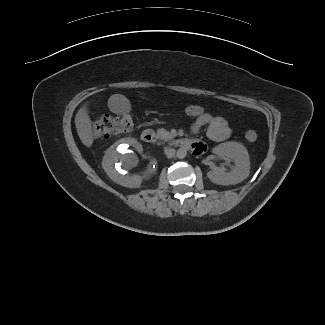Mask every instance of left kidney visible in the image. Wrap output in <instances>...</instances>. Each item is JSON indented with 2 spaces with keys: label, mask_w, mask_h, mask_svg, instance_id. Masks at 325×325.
Segmentation results:
<instances>
[{
  "label": "left kidney",
  "mask_w": 325,
  "mask_h": 325,
  "mask_svg": "<svg viewBox=\"0 0 325 325\" xmlns=\"http://www.w3.org/2000/svg\"><path fill=\"white\" fill-rule=\"evenodd\" d=\"M219 157H228L234 161V168L226 172L224 168L209 171L207 177L218 185H233L242 182L250 174L249 154L244 145L238 142L221 143L213 149Z\"/></svg>",
  "instance_id": "1"
}]
</instances>
